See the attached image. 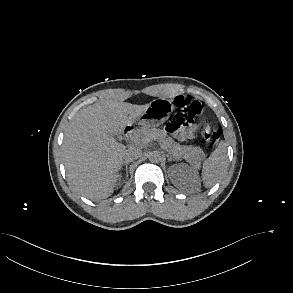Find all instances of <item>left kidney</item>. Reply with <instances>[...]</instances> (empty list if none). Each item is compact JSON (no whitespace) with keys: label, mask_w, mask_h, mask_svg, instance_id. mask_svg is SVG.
I'll return each mask as SVG.
<instances>
[{"label":"left kidney","mask_w":293,"mask_h":293,"mask_svg":"<svg viewBox=\"0 0 293 293\" xmlns=\"http://www.w3.org/2000/svg\"><path fill=\"white\" fill-rule=\"evenodd\" d=\"M172 182L177 187H185L195 191L200 190L199 176L196 170L180 163L171 166Z\"/></svg>","instance_id":"1"}]
</instances>
